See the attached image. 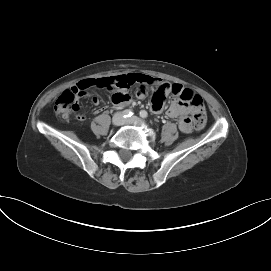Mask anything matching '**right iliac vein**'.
Instances as JSON below:
<instances>
[{
  "label": "right iliac vein",
  "instance_id": "right-iliac-vein-1",
  "mask_svg": "<svg viewBox=\"0 0 271 271\" xmlns=\"http://www.w3.org/2000/svg\"><path fill=\"white\" fill-rule=\"evenodd\" d=\"M123 115L121 113H116L113 118H112V123L115 126H120L121 124H123Z\"/></svg>",
  "mask_w": 271,
  "mask_h": 271
}]
</instances>
